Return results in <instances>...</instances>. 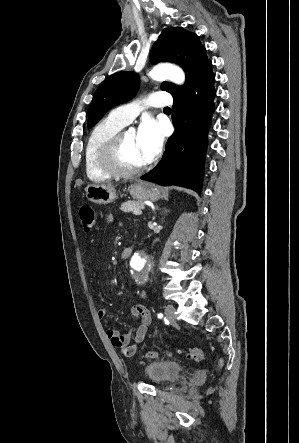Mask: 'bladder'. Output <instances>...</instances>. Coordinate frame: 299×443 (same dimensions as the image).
<instances>
[{"label":"bladder","instance_id":"obj_1","mask_svg":"<svg viewBox=\"0 0 299 443\" xmlns=\"http://www.w3.org/2000/svg\"><path fill=\"white\" fill-rule=\"evenodd\" d=\"M144 375L151 384L160 386L179 378L181 367L172 360H155L145 366Z\"/></svg>","mask_w":299,"mask_h":443}]
</instances>
